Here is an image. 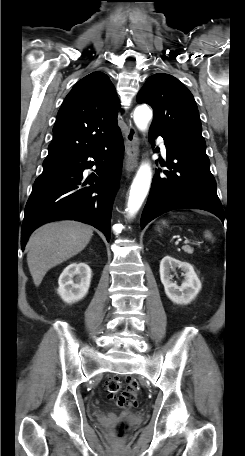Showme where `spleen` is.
Listing matches in <instances>:
<instances>
[{"mask_svg":"<svg viewBox=\"0 0 245 456\" xmlns=\"http://www.w3.org/2000/svg\"><path fill=\"white\" fill-rule=\"evenodd\" d=\"M206 236H207V237H211L210 233H208V232L206 233Z\"/></svg>","mask_w":245,"mask_h":456,"instance_id":"1","label":"spleen"}]
</instances>
